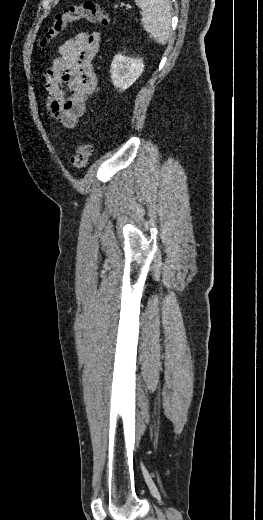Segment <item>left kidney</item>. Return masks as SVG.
<instances>
[{
    "instance_id": "1",
    "label": "left kidney",
    "mask_w": 263,
    "mask_h": 520,
    "mask_svg": "<svg viewBox=\"0 0 263 520\" xmlns=\"http://www.w3.org/2000/svg\"><path fill=\"white\" fill-rule=\"evenodd\" d=\"M144 64L142 58H131L116 55L111 63V80L120 91L128 89L142 74Z\"/></svg>"
}]
</instances>
